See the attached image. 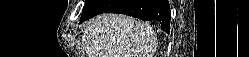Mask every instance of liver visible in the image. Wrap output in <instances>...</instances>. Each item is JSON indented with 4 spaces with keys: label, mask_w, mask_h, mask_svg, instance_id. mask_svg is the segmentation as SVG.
Returning <instances> with one entry per match:
<instances>
[{
    "label": "liver",
    "mask_w": 249,
    "mask_h": 57,
    "mask_svg": "<svg viewBox=\"0 0 249 57\" xmlns=\"http://www.w3.org/2000/svg\"><path fill=\"white\" fill-rule=\"evenodd\" d=\"M88 57H153L156 35L141 21L117 14H102L84 25Z\"/></svg>",
    "instance_id": "6515ba94"
}]
</instances>
